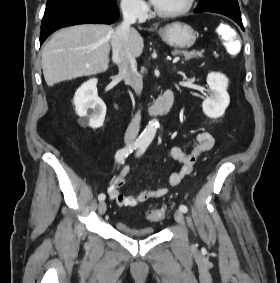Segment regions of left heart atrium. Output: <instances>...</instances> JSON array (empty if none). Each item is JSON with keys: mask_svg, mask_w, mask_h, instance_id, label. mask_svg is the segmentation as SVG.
<instances>
[{"mask_svg": "<svg viewBox=\"0 0 280 283\" xmlns=\"http://www.w3.org/2000/svg\"><path fill=\"white\" fill-rule=\"evenodd\" d=\"M153 5H156L158 0H150Z\"/></svg>", "mask_w": 280, "mask_h": 283, "instance_id": "obj_1", "label": "left heart atrium"}]
</instances>
